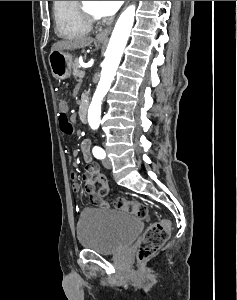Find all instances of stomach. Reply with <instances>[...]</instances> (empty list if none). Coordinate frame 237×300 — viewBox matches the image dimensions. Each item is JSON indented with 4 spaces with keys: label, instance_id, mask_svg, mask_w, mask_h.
Segmentation results:
<instances>
[{
    "label": "stomach",
    "instance_id": "stomach-1",
    "mask_svg": "<svg viewBox=\"0 0 237 300\" xmlns=\"http://www.w3.org/2000/svg\"><path fill=\"white\" fill-rule=\"evenodd\" d=\"M72 55L64 53V51H52L49 55V65L51 73L55 79L63 81L68 79L72 71Z\"/></svg>",
    "mask_w": 237,
    "mask_h": 300
}]
</instances>
